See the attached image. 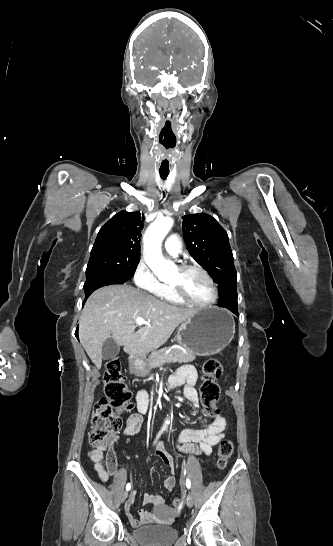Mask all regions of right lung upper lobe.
I'll list each match as a JSON object with an SVG mask.
<instances>
[{
    "label": "right lung upper lobe",
    "instance_id": "obj_1",
    "mask_svg": "<svg viewBox=\"0 0 333 546\" xmlns=\"http://www.w3.org/2000/svg\"><path fill=\"white\" fill-rule=\"evenodd\" d=\"M144 218L139 212L121 211L100 229L92 251L119 250L140 256V237Z\"/></svg>",
    "mask_w": 333,
    "mask_h": 546
}]
</instances>
